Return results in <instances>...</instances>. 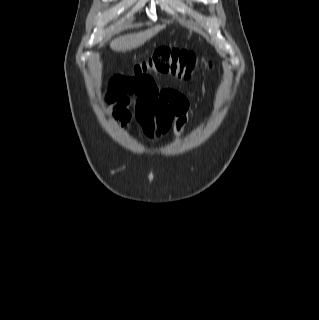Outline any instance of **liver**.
<instances>
[{
	"label": "liver",
	"mask_w": 319,
	"mask_h": 320,
	"mask_svg": "<svg viewBox=\"0 0 319 320\" xmlns=\"http://www.w3.org/2000/svg\"><path fill=\"white\" fill-rule=\"evenodd\" d=\"M164 27L165 25H157L145 31L119 36L110 42V48L116 52H126L138 48L159 33Z\"/></svg>",
	"instance_id": "1"
}]
</instances>
